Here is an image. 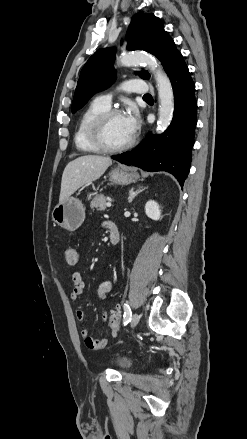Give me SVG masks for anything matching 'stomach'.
Segmentation results:
<instances>
[{"mask_svg": "<svg viewBox=\"0 0 247 439\" xmlns=\"http://www.w3.org/2000/svg\"><path fill=\"white\" fill-rule=\"evenodd\" d=\"M138 174L128 168H115L109 173V181L127 185L138 179ZM85 219V207L80 200L69 197L56 205L52 211V220L68 231L78 229Z\"/></svg>", "mask_w": 247, "mask_h": 439, "instance_id": "0dacf381", "label": "stomach"}]
</instances>
